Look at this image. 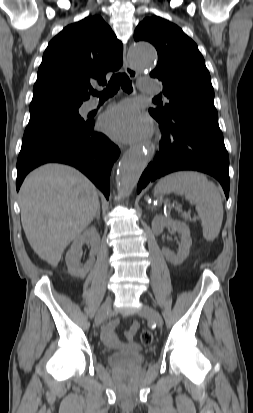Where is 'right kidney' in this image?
<instances>
[{"instance_id": "1", "label": "right kidney", "mask_w": 253, "mask_h": 413, "mask_svg": "<svg viewBox=\"0 0 253 413\" xmlns=\"http://www.w3.org/2000/svg\"><path fill=\"white\" fill-rule=\"evenodd\" d=\"M84 243H90V258L84 266L80 265V251ZM100 248V236L95 227L86 229L82 235L77 237L66 254L65 261L70 275L84 278L94 264V256Z\"/></svg>"}]
</instances>
